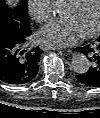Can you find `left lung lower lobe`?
Returning a JSON list of instances; mask_svg holds the SVG:
<instances>
[{
	"label": "left lung lower lobe",
	"mask_w": 100,
	"mask_h": 118,
	"mask_svg": "<svg viewBox=\"0 0 100 118\" xmlns=\"http://www.w3.org/2000/svg\"><path fill=\"white\" fill-rule=\"evenodd\" d=\"M76 50L83 53L90 61V68L86 73L76 75L78 81L88 87L100 86V37L92 44L78 47Z\"/></svg>",
	"instance_id": "0a47b994"
}]
</instances>
